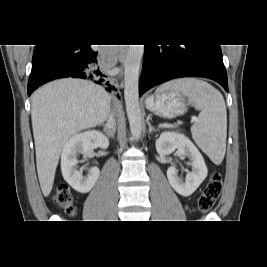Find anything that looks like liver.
Wrapping results in <instances>:
<instances>
[{
	"instance_id": "6515ba94",
	"label": "liver",
	"mask_w": 267,
	"mask_h": 267,
	"mask_svg": "<svg viewBox=\"0 0 267 267\" xmlns=\"http://www.w3.org/2000/svg\"><path fill=\"white\" fill-rule=\"evenodd\" d=\"M109 111V94L90 81L61 79L35 91L31 119L37 174L45 197L51 193L60 154L68 139L102 124Z\"/></svg>"
}]
</instances>
